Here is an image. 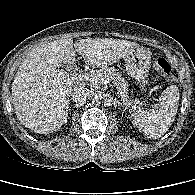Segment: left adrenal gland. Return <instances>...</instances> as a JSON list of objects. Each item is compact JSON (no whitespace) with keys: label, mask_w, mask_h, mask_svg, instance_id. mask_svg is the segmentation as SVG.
<instances>
[{"label":"left adrenal gland","mask_w":195,"mask_h":195,"mask_svg":"<svg viewBox=\"0 0 195 195\" xmlns=\"http://www.w3.org/2000/svg\"><path fill=\"white\" fill-rule=\"evenodd\" d=\"M117 104H118L119 107H121V103L119 101H114L115 107L117 106Z\"/></svg>","instance_id":"obj_1"}]
</instances>
